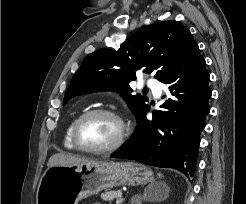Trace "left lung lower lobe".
<instances>
[{"mask_svg": "<svg viewBox=\"0 0 246 204\" xmlns=\"http://www.w3.org/2000/svg\"><path fill=\"white\" fill-rule=\"evenodd\" d=\"M210 76L197 43L162 82L168 86L167 98L153 119L148 108L137 118L132 137L111 157L133 159L156 167L175 168L193 176L200 133L210 112Z\"/></svg>", "mask_w": 246, "mask_h": 204, "instance_id": "0a47b994", "label": "left lung lower lobe"}]
</instances>
